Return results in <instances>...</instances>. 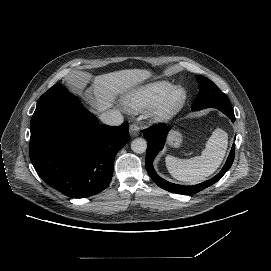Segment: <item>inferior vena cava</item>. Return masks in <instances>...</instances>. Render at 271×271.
<instances>
[{
    "label": "inferior vena cava",
    "mask_w": 271,
    "mask_h": 271,
    "mask_svg": "<svg viewBox=\"0 0 271 271\" xmlns=\"http://www.w3.org/2000/svg\"><path fill=\"white\" fill-rule=\"evenodd\" d=\"M100 119L109 126H120L124 122L123 116L115 110H108L102 113Z\"/></svg>",
    "instance_id": "1"
}]
</instances>
